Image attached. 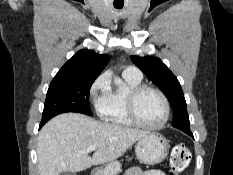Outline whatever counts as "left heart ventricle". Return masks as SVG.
<instances>
[{"instance_id":"b2bd125f","label":"left heart ventricle","mask_w":233,"mask_h":175,"mask_svg":"<svg viewBox=\"0 0 233 175\" xmlns=\"http://www.w3.org/2000/svg\"><path fill=\"white\" fill-rule=\"evenodd\" d=\"M164 105L153 91H145L137 101V114L139 119L149 125L158 124L164 117Z\"/></svg>"}]
</instances>
